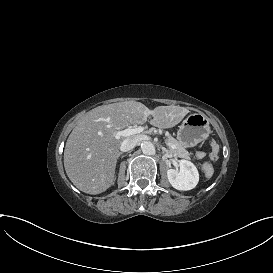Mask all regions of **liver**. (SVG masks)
Here are the masks:
<instances>
[{
  "instance_id": "obj_1",
  "label": "liver",
  "mask_w": 273,
  "mask_h": 273,
  "mask_svg": "<svg viewBox=\"0 0 273 273\" xmlns=\"http://www.w3.org/2000/svg\"><path fill=\"white\" fill-rule=\"evenodd\" d=\"M189 112L178 105L150 109L137 101L101 105L90 110L66 141L64 168L68 178L86 194L105 192L115 181L122 143L134 137L122 135L126 127L143 125L151 117L153 127L169 129L179 124Z\"/></svg>"
}]
</instances>
